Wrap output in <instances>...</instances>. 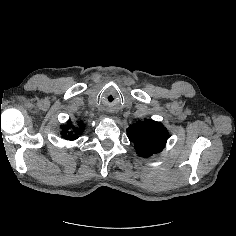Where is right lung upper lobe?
Returning a JSON list of instances; mask_svg holds the SVG:
<instances>
[{
    "label": "right lung upper lobe",
    "mask_w": 236,
    "mask_h": 236,
    "mask_svg": "<svg viewBox=\"0 0 236 236\" xmlns=\"http://www.w3.org/2000/svg\"><path fill=\"white\" fill-rule=\"evenodd\" d=\"M83 129V122L79 121L78 126L75 127L74 125H72L71 121H69L67 125L62 126L61 134L62 137L67 140H75L83 132Z\"/></svg>",
    "instance_id": "obj_1"
}]
</instances>
